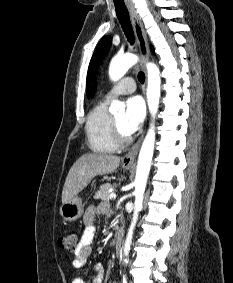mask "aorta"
Here are the masks:
<instances>
[{"instance_id":"aorta-1","label":"aorta","mask_w":233,"mask_h":283,"mask_svg":"<svg viewBox=\"0 0 233 283\" xmlns=\"http://www.w3.org/2000/svg\"><path fill=\"white\" fill-rule=\"evenodd\" d=\"M138 57L131 53H126L124 55L115 56L109 66V76L112 81H118L121 79L126 72L138 62ZM147 75H148V86H147V103L150 114L153 118L150 123L148 132L143 140L136 169L135 176V202H134V214L132 222L126 237V242L124 245V255L127 257L130 250V245L132 241L133 230L138 219L139 211L142 209L144 192L147 184V179L149 176L151 161L154 152L155 145V124L154 119L159 107L160 99V71L157 65L154 63H147ZM124 103L113 100L109 107V111L113 114L117 112H124ZM128 262L127 258L124 260Z\"/></svg>"}]
</instances>
